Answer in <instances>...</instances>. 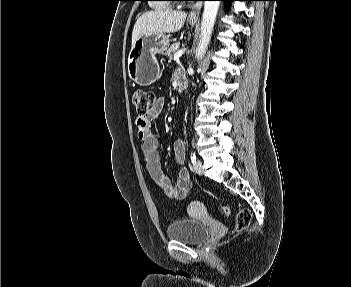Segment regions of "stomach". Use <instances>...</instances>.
I'll use <instances>...</instances> for the list:
<instances>
[{
	"instance_id": "0dacf381",
	"label": "stomach",
	"mask_w": 351,
	"mask_h": 287,
	"mask_svg": "<svg viewBox=\"0 0 351 287\" xmlns=\"http://www.w3.org/2000/svg\"><path fill=\"white\" fill-rule=\"evenodd\" d=\"M194 26L195 21L189 20ZM169 46V36L163 33L143 35L132 46L128 57L130 78L141 86H149L159 77L156 54H162Z\"/></svg>"
}]
</instances>
